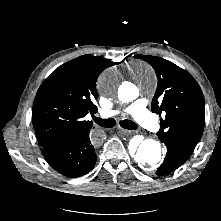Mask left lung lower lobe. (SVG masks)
Segmentation results:
<instances>
[{"label": "left lung lower lobe", "mask_w": 221, "mask_h": 221, "mask_svg": "<svg viewBox=\"0 0 221 221\" xmlns=\"http://www.w3.org/2000/svg\"><path fill=\"white\" fill-rule=\"evenodd\" d=\"M162 142L167 147V153L164 162L156 170V174L159 176H164L176 170L190 157L194 150L189 145L180 142L172 140H163Z\"/></svg>", "instance_id": "0a47b994"}]
</instances>
